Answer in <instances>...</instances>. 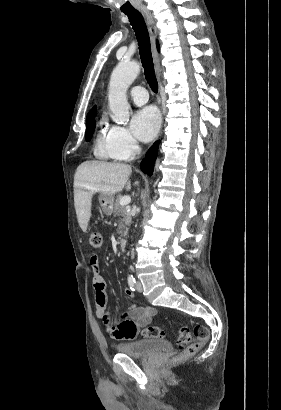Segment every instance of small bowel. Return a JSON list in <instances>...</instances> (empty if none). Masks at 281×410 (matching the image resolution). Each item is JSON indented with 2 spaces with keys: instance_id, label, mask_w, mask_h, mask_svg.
I'll use <instances>...</instances> for the list:
<instances>
[{
  "instance_id": "small-bowel-1",
  "label": "small bowel",
  "mask_w": 281,
  "mask_h": 410,
  "mask_svg": "<svg viewBox=\"0 0 281 410\" xmlns=\"http://www.w3.org/2000/svg\"><path fill=\"white\" fill-rule=\"evenodd\" d=\"M90 270L92 274L96 315L105 322L106 332L117 340H134L137 337L138 330L147 325L155 314V309L150 306L130 307L131 317H122L121 320L108 318L106 315L107 292L106 282L101 274L99 265V256L92 254L89 259ZM124 293L127 297H134L131 288H125Z\"/></svg>"
}]
</instances>
